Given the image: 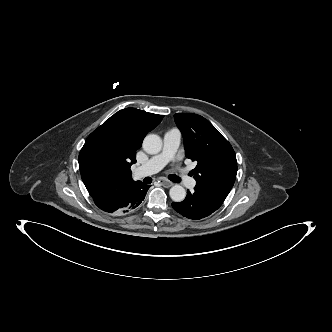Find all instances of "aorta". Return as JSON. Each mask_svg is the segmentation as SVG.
<instances>
[{
    "label": "aorta",
    "mask_w": 332,
    "mask_h": 332,
    "mask_svg": "<svg viewBox=\"0 0 332 332\" xmlns=\"http://www.w3.org/2000/svg\"><path fill=\"white\" fill-rule=\"evenodd\" d=\"M143 149L148 154L159 153L162 149V140L160 136L156 134L147 135L143 140ZM169 194L171 199L175 202H181L186 197L185 189L178 184L171 187Z\"/></svg>",
    "instance_id": "obj_1"
}]
</instances>
